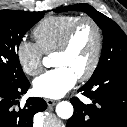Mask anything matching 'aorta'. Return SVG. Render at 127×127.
<instances>
[{"mask_svg": "<svg viewBox=\"0 0 127 127\" xmlns=\"http://www.w3.org/2000/svg\"><path fill=\"white\" fill-rule=\"evenodd\" d=\"M48 58L43 59V64L48 66ZM56 113L62 119H69L73 115V106L68 101H62L56 106Z\"/></svg>", "mask_w": 127, "mask_h": 127, "instance_id": "762f6f07", "label": "aorta"}]
</instances>
